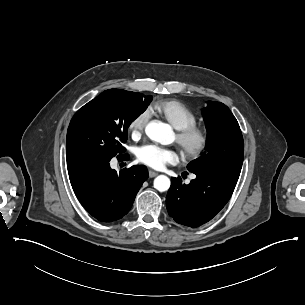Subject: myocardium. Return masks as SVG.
<instances>
[{
	"instance_id": "1",
	"label": "myocardium",
	"mask_w": 305,
	"mask_h": 305,
	"mask_svg": "<svg viewBox=\"0 0 305 305\" xmlns=\"http://www.w3.org/2000/svg\"><path fill=\"white\" fill-rule=\"evenodd\" d=\"M177 142L182 154L188 159L201 157L209 147L210 133L199 125L178 129L176 135Z\"/></svg>"
}]
</instances>
